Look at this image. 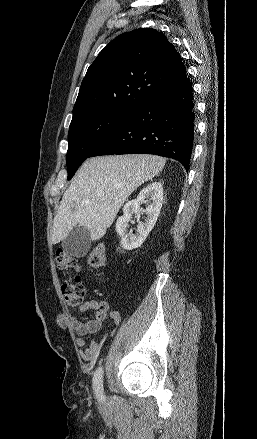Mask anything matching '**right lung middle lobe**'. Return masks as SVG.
Instances as JSON below:
<instances>
[{
  "label": "right lung middle lobe",
  "mask_w": 257,
  "mask_h": 439,
  "mask_svg": "<svg viewBox=\"0 0 257 439\" xmlns=\"http://www.w3.org/2000/svg\"><path fill=\"white\" fill-rule=\"evenodd\" d=\"M132 112L97 110L72 118L68 132L67 169L68 180L90 156L97 145Z\"/></svg>",
  "instance_id": "1"
}]
</instances>
